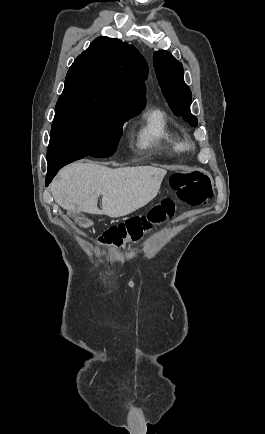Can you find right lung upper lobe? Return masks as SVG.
I'll return each instance as SVG.
<instances>
[{
    "label": "right lung upper lobe",
    "mask_w": 265,
    "mask_h": 434,
    "mask_svg": "<svg viewBox=\"0 0 265 434\" xmlns=\"http://www.w3.org/2000/svg\"><path fill=\"white\" fill-rule=\"evenodd\" d=\"M147 74V63L133 45L98 37L75 59L65 86H93L115 98L144 106Z\"/></svg>",
    "instance_id": "cb5924a9"
}]
</instances>
